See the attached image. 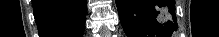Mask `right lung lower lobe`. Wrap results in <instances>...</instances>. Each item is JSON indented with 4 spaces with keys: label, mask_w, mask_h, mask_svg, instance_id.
<instances>
[{
    "label": "right lung lower lobe",
    "mask_w": 219,
    "mask_h": 37,
    "mask_svg": "<svg viewBox=\"0 0 219 37\" xmlns=\"http://www.w3.org/2000/svg\"><path fill=\"white\" fill-rule=\"evenodd\" d=\"M41 37H81L86 17L85 0H33Z\"/></svg>",
    "instance_id": "1"
}]
</instances>
